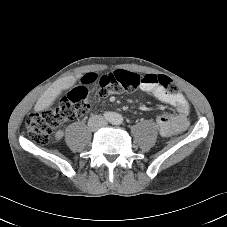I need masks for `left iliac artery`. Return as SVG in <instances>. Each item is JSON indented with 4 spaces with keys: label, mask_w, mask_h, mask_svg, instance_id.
<instances>
[{
    "label": "left iliac artery",
    "mask_w": 227,
    "mask_h": 227,
    "mask_svg": "<svg viewBox=\"0 0 227 227\" xmlns=\"http://www.w3.org/2000/svg\"><path fill=\"white\" fill-rule=\"evenodd\" d=\"M113 122L115 124H119L121 122V117L119 115H115V117L113 119Z\"/></svg>",
    "instance_id": "obj_1"
}]
</instances>
